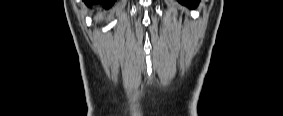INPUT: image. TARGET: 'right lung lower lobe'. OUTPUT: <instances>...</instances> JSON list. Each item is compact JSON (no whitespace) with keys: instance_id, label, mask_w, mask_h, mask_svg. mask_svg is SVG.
I'll return each instance as SVG.
<instances>
[{"instance_id":"1","label":"right lung lower lobe","mask_w":283,"mask_h":116,"mask_svg":"<svg viewBox=\"0 0 283 116\" xmlns=\"http://www.w3.org/2000/svg\"><path fill=\"white\" fill-rule=\"evenodd\" d=\"M87 4H93V3H103L105 8L111 7L115 0H85Z\"/></svg>"}]
</instances>
